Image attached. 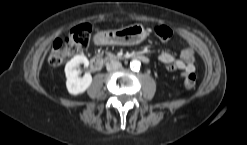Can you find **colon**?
I'll return each instance as SVG.
<instances>
[{
  "mask_svg": "<svg viewBox=\"0 0 247 145\" xmlns=\"http://www.w3.org/2000/svg\"><path fill=\"white\" fill-rule=\"evenodd\" d=\"M157 37L162 41L169 40L173 35V30L166 25L156 26L154 29ZM91 26L81 24L71 29L66 37L58 38L54 41L49 54V62L53 66L62 65L69 57L78 51L85 49L90 41ZM196 84V75L193 72L185 73L184 87L191 89Z\"/></svg>",
  "mask_w": 247,
  "mask_h": 145,
  "instance_id": "5ec220e1",
  "label": "colon"
}]
</instances>
